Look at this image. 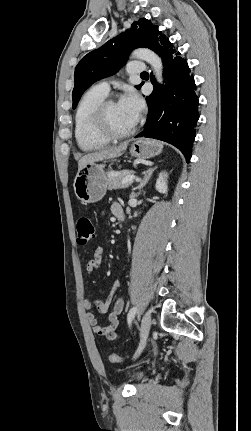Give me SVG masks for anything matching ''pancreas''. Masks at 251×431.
I'll return each mask as SVG.
<instances>
[{"mask_svg":"<svg viewBox=\"0 0 251 431\" xmlns=\"http://www.w3.org/2000/svg\"><path fill=\"white\" fill-rule=\"evenodd\" d=\"M133 172L130 170H122L119 172H109L107 176V186L109 190L118 189V188H126L131 183L122 184V180L132 175Z\"/></svg>","mask_w":251,"mask_h":431,"instance_id":"cf45deb5","label":"pancreas"}]
</instances>
